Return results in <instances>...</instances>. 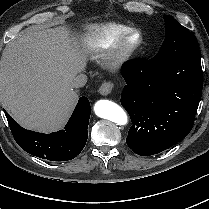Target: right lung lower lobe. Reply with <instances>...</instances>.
<instances>
[{
  "label": "right lung lower lobe",
  "instance_id": "98d812e1",
  "mask_svg": "<svg viewBox=\"0 0 209 209\" xmlns=\"http://www.w3.org/2000/svg\"><path fill=\"white\" fill-rule=\"evenodd\" d=\"M90 113L89 100L81 97L65 129L50 134L26 130L8 113L5 112V115L15 141L23 150L50 161H68L85 147Z\"/></svg>",
  "mask_w": 209,
  "mask_h": 209
}]
</instances>
